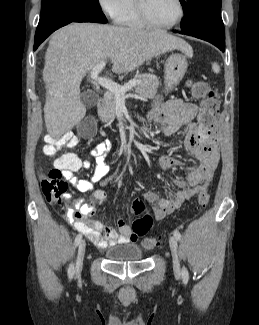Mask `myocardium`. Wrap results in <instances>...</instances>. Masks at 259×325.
<instances>
[{
  "label": "myocardium",
  "instance_id": "obj_1",
  "mask_svg": "<svg viewBox=\"0 0 259 325\" xmlns=\"http://www.w3.org/2000/svg\"><path fill=\"white\" fill-rule=\"evenodd\" d=\"M175 1L178 6V15L174 19V21H172L170 24L161 25V24H157V23L153 22L147 14V11H146L145 5H144V0H136L137 11H138L139 17L142 20V22L144 23V25L149 28L159 29V30L172 29L180 23V21L183 19L184 14H185V8H184V4H183L182 0H175Z\"/></svg>",
  "mask_w": 259,
  "mask_h": 325
}]
</instances>
